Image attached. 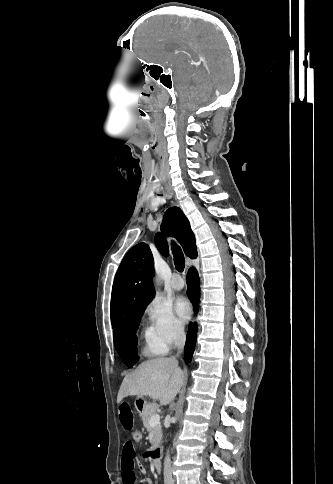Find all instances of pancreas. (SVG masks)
I'll list each match as a JSON object with an SVG mask.
<instances>
[{
	"label": "pancreas",
	"instance_id": "pancreas-1",
	"mask_svg": "<svg viewBox=\"0 0 333 484\" xmlns=\"http://www.w3.org/2000/svg\"><path fill=\"white\" fill-rule=\"evenodd\" d=\"M157 410H158V404L153 402L148 405L146 411L142 414V421H143L144 427L148 432L152 430V433L154 436L151 449L159 446L162 441V427L160 423L155 425L153 428L149 424L150 418L154 414H157Z\"/></svg>",
	"mask_w": 333,
	"mask_h": 484
}]
</instances>
